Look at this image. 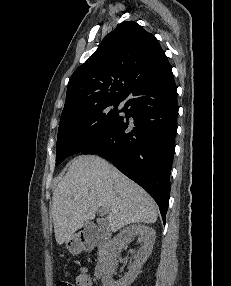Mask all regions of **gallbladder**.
<instances>
[{"label": "gallbladder", "instance_id": "gallbladder-1", "mask_svg": "<svg viewBox=\"0 0 231 286\" xmlns=\"http://www.w3.org/2000/svg\"><path fill=\"white\" fill-rule=\"evenodd\" d=\"M86 227L87 234H96L98 233V228H96L95 224L92 222L90 218L86 219V222L84 223Z\"/></svg>", "mask_w": 231, "mask_h": 286}]
</instances>
